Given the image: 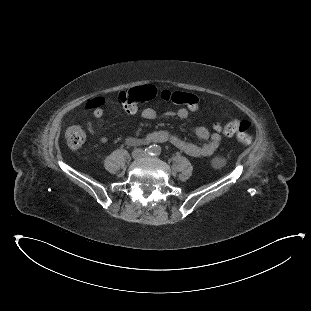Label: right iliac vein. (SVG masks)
Wrapping results in <instances>:
<instances>
[{"instance_id": "1", "label": "right iliac vein", "mask_w": 311, "mask_h": 311, "mask_svg": "<svg viewBox=\"0 0 311 311\" xmlns=\"http://www.w3.org/2000/svg\"><path fill=\"white\" fill-rule=\"evenodd\" d=\"M141 157H142V153H141L140 151H135V152L133 153V158L139 159V158H141Z\"/></svg>"}]
</instances>
